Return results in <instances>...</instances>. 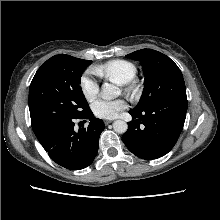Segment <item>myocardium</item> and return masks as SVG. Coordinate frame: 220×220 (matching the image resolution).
I'll return each instance as SVG.
<instances>
[{"label": "myocardium", "instance_id": "obj_1", "mask_svg": "<svg viewBox=\"0 0 220 220\" xmlns=\"http://www.w3.org/2000/svg\"><path fill=\"white\" fill-rule=\"evenodd\" d=\"M123 87H124V92L131 95L135 94L138 90L135 81H130L129 83L124 84Z\"/></svg>", "mask_w": 220, "mask_h": 220}]
</instances>
